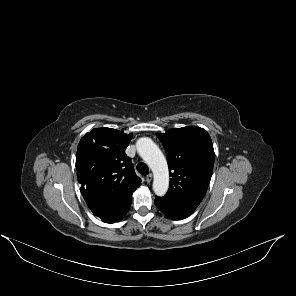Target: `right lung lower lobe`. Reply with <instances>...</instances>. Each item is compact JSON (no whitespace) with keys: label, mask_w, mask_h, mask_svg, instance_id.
Wrapping results in <instances>:
<instances>
[{"label":"right lung lower lobe","mask_w":296,"mask_h":296,"mask_svg":"<svg viewBox=\"0 0 296 296\" xmlns=\"http://www.w3.org/2000/svg\"><path fill=\"white\" fill-rule=\"evenodd\" d=\"M132 197V196H131ZM131 197L123 200H112L107 202H86L94 215L105 223L120 221L128 212L131 205Z\"/></svg>","instance_id":"obj_1"}]
</instances>
